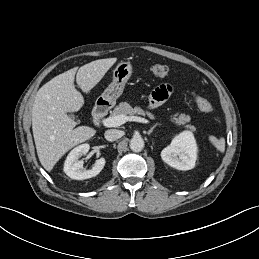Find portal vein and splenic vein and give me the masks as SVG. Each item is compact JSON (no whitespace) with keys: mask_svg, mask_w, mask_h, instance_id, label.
<instances>
[{"mask_svg":"<svg viewBox=\"0 0 259 259\" xmlns=\"http://www.w3.org/2000/svg\"><path fill=\"white\" fill-rule=\"evenodd\" d=\"M127 121H135V122H141V123H149V121L145 118L138 117V116H125V115H118L114 117H108L102 120V124L105 127H118L122 124H124Z\"/></svg>","mask_w":259,"mask_h":259,"instance_id":"portal-vein-and-splenic-vein-1","label":"portal vein and splenic vein"}]
</instances>
